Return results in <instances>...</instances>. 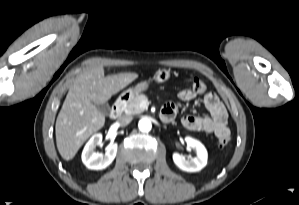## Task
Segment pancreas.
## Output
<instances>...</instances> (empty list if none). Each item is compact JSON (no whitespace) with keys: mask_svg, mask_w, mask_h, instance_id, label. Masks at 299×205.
Returning a JSON list of instances; mask_svg holds the SVG:
<instances>
[{"mask_svg":"<svg viewBox=\"0 0 299 205\" xmlns=\"http://www.w3.org/2000/svg\"><path fill=\"white\" fill-rule=\"evenodd\" d=\"M143 101H148L147 96H145L144 94L137 95L135 98L124 105V113L127 115H136L144 112L146 108L140 107V103Z\"/></svg>","mask_w":299,"mask_h":205,"instance_id":"pancreas-1","label":"pancreas"}]
</instances>
